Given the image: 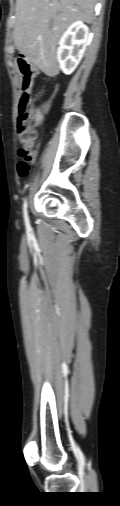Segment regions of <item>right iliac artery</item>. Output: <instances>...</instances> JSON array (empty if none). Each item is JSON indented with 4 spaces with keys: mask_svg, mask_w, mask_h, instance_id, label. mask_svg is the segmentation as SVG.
I'll use <instances>...</instances> for the list:
<instances>
[{
    "mask_svg": "<svg viewBox=\"0 0 120 506\" xmlns=\"http://www.w3.org/2000/svg\"><path fill=\"white\" fill-rule=\"evenodd\" d=\"M23 214H24L25 223L28 225L29 219H28V213H27V200L26 199L24 200V204H23Z\"/></svg>",
    "mask_w": 120,
    "mask_h": 506,
    "instance_id": "obj_1",
    "label": "right iliac artery"
}]
</instances>
